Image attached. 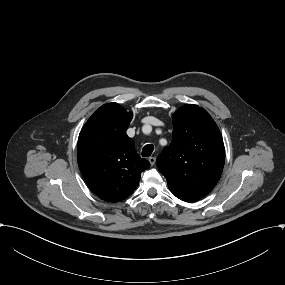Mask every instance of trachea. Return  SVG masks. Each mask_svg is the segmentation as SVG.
Returning a JSON list of instances; mask_svg holds the SVG:
<instances>
[{
	"label": "trachea",
	"mask_w": 285,
	"mask_h": 285,
	"mask_svg": "<svg viewBox=\"0 0 285 285\" xmlns=\"http://www.w3.org/2000/svg\"><path fill=\"white\" fill-rule=\"evenodd\" d=\"M154 150V146L152 144H147L142 149V156L149 157Z\"/></svg>",
	"instance_id": "obj_1"
}]
</instances>
